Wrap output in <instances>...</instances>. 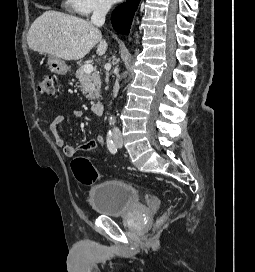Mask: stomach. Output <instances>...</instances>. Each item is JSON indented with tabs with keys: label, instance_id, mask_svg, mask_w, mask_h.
<instances>
[{
	"label": "stomach",
	"instance_id": "0dacf381",
	"mask_svg": "<svg viewBox=\"0 0 255 272\" xmlns=\"http://www.w3.org/2000/svg\"><path fill=\"white\" fill-rule=\"evenodd\" d=\"M47 63L51 72L56 74L65 75L69 70L65 61L51 55L48 56Z\"/></svg>",
	"mask_w": 255,
	"mask_h": 272
}]
</instances>
